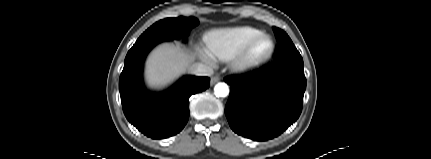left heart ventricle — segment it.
<instances>
[{
    "label": "left heart ventricle",
    "mask_w": 431,
    "mask_h": 159,
    "mask_svg": "<svg viewBox=\"0 0 431 159\" xmlns=\"http://www.w3.org/2000/svg\"><path fill=\"white\" fill-rule=\"evenodd\" d=\"M268 46H269L268 41L266 40L260 41L255 48V52L257 54L262 53L268 48Z\"/></svg>",
    "instance_id": "left-heart-ventricle-1"
}]
</instances>
